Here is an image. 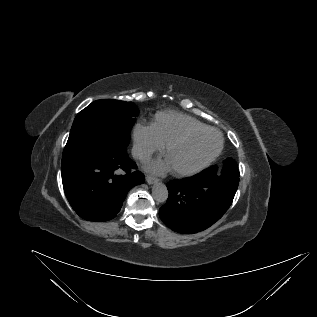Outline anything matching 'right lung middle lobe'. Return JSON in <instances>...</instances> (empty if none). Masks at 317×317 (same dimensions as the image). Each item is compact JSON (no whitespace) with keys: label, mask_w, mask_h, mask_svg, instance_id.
Wrapping results in <instances>:
<instances>
[{"label":"right lung middle lobe","mask_w":317,"mask_h":317,"mask_svg":"<svg viewBox=\"0 0 317 317\" xmlns=\"http://www.w3.org/2000/svg\"><path fill=\"white\" fill-rule=\"evenodd\" d=\"M139 114L132 102L97 100L80 111L62 156V167L82 162L99 152L126 151Z\"/></svg>","instance_id":"obj_1"}]
</instances>
